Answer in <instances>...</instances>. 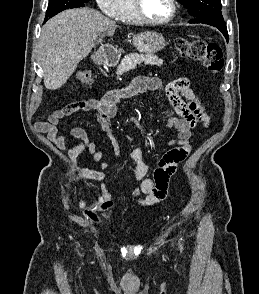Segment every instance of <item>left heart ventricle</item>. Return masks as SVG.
Wrapping results in <instances>:
<instances>
[{
    "mask_svg": "<svg viewBox=\"0 0 259 294\" xmlns=\"http://www.w3.org/2000/svg\"><path fill=\"white\" fill-rule=\"evenodd\" d=\"M145 15L154 20L166 18L171 11L169 0H141Z\"/></svg>",
    "mask_w": 259,
    "mask_h": 294,
    "instance_id": "left-heart-ventricle-1",
    "label": "left heart ventricle"
}]
</instances>
